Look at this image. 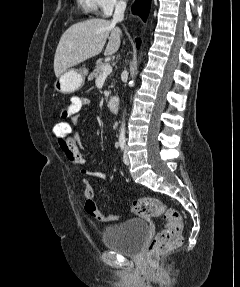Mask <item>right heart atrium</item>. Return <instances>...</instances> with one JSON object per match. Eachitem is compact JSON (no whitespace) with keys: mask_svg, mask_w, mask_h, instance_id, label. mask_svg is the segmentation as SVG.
I'll return each instance as SVG.
<instances>
[{"mask_svg":"<svg viewBox=\"0 0 240 287\" xmlns=\"http://www.w3.org/2000/svg\"><path fill=\"white\" fill-rule=\"evenodd\" d=\"M97 2L102 15H109L124 4L123 0H97Z\"/></svg>","mask_w":240,"mask_h":287,"instance_id":"1","label":"right heart atrium"}]
</instances>
